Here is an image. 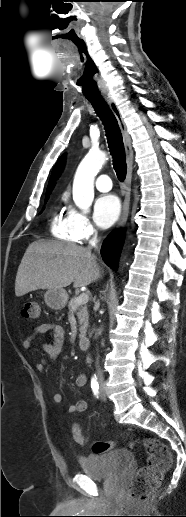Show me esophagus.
<instances>
[{"mask_svg": "<svg viewBox=\"0 0 186 517\" xmlns=\"http://www.w3.org/2000/svg\"><path fill=\"white\" fill-rule=\"evenodd\" d=\"M103 98L105 99V101L107 102L111 111L113 112L114 116L117 119L118 125H119L121 133H122L124 147H125V153H126L127 174H126V179H125V183H124L125 197H124V201H123L122 215H121L120 221L118 223V228H122L128 219L129 209H130L131 181H132L134 155H133V149H132V145H131V138L127 131L125 122L121 116L119 108L117 107L115 101L110 96L103 94Z\"/></svg>", "mask_w": 186, "mask_h": 517, "instance_id": "esophagus-1", "label": "esophagus"}]
</instances>
